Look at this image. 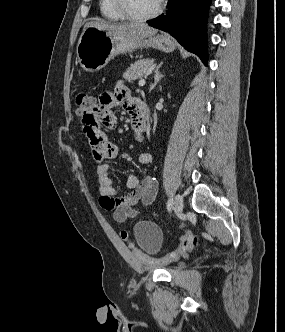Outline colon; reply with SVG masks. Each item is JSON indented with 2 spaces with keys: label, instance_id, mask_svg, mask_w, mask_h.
Here are the masks:
<instances>
[{
  "label": "colon",
  "instance_id": "1",
  "mask_svg": "<svg viewBox=\"0 0 285 332\" xmlns=\"http://www.w3.org/2000/svg\"><path fill=\"white\" fill-rule=\"evenodd\" d=\"M95 95L91 94H80L76 97L75 99V107L77 114L83 115L84 111H89V107H94L95 106ZM121 237L124 240L129 239V234L127 231H122L121 232ZM196 241L193 237L190 235L186 234L181 238V243L180 246L177 250L168 253L162 258L154 259L150 258L146 253L141 251L140 249L136 248L134 244L131 243L132 248L134 249L136 255L139 257V259L146 264H157V265H163L175 260H178L182 257H185L193 248L195 245Z\"/></svg>",
  "mask_w": 285,
  "mask_h": 332
}]
</instances>
